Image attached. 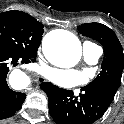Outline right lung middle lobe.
<instances>
[{"instance_id":"dd1d6c3e","label":"right lung middle lobe","mask_w":124,"mask_h":124,"mask_svg":"<svg viewBox=\"0 0 124 124\" xmlns=\"http://www.w3.org/2000/svg\"><path fill=\"white\" fill-rule=\"evenodd\" d=\"M21 11L0 13V49L31 58L41 43L43 24Z\"/></svg>"}]
</instances>
